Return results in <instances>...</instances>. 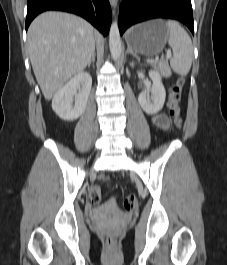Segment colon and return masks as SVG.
<instances>
[{
    "label": "colon",
    "instance_id": "colon-1",
    "mask_svg": "<svg viewBox=\"0 0 227 265\" xmlns=\"http://www.w3.org/2000/svg\"><path fill=\"white\" fill-rule=\"evenodd\" d=\"M184 80L182 78H178L174 81V83L170 86L169 89V99H168V109L170 115L174 119L175 125L180 128L182 126V118H181V95L183 88ZM99 180L101 182H108L109 177L107 175L100 176ZM89 198L90 201L99 205L102 201L101 189L99 185H94L89 190ZM137 197L135 195H128L123 201V207L127 211L133 210L137 205ZM105 241L108 245L112 246L115 243V239L111 235H107L105 237Z\"/></svg>",
    "mask_w": 227,
    "mask_h": 265
}]
</instances>
